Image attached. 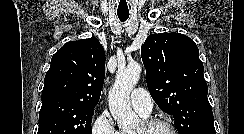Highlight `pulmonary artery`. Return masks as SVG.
Instances as JSON below:
<instances>
[{"instance_id": "obj_1", "label": "pulmonary artery", "mask_w": 244, "mask_h": 134, "mask_svg": "<svg viewBox=\"0 0 244 134\" xmlns=\"http://www.w3.org/2000/svg\"><path fill=\"white\" fill-rule=\"evenodd\" d=\"M130 103L134 110L143 117H148L152 112V98L143 88H136L132 91L130 96Z\"/></svg>"}]
</instances>
